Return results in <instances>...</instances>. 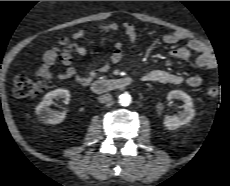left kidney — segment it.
I'll list each match as a JSON object with an SVG mask.
<instances>
[{"label":"left kidney","mask_w":230,"mask_h":186,"mask_svg":"<svg viewBox=\"0 0 230 186\" xmlns=\"http://www.w3.org/2000/svg\"><path fill=\"white\" fill-rule=\"evenodd\" d=\"M167 99H179L184 102V110L179 115L166 116L164 119V126L169 130H175L181 125H185L190 122L195 116L193 109L192 98L181 90L170 91L167 95Z\"/></svg>","instance_id":"1"}]
</instances>
